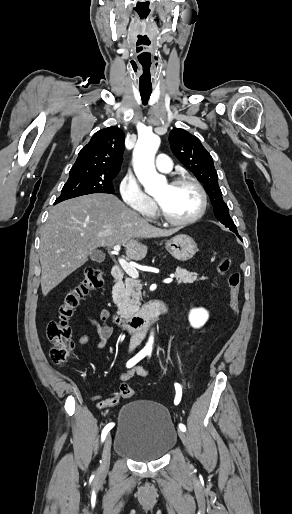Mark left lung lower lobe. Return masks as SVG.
Masks as SVG:
<instances>
[{
  "label": "left lung lower lobe",
  "mask_w": 292,
  "mask_h": 514,
  "mask_svg": "<svg viewBox=\"0 0 292 514\" xmlns=\"http://www.w3.org/2000/svg\"><path fill=\"white\" fill-rule=\"evenodd\" d=\"M236 235L241 239V237L236 233ZM242 240V239H241Z\"/></svg>",
  "instance_id": "1"
}]
</instances>
